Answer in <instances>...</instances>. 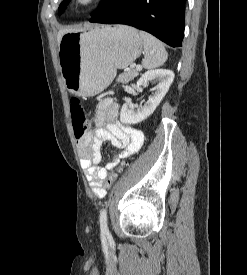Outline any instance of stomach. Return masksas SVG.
Segmentation results:
<instances>
[{
    "label": "stomach",
    "instance_id": "1",
    "mask_svg": "<svg viewBox=\"0 0 247 275\" xmlns=\"http://www.w3.org/2000/svg\"><path fill=\"white\" fill-rule=\"evenodd\" d=\"M142 49L138 31L125 25L65 33L58 49L65 86L78 96L97 95L113 81L117 69L131 65Z\"/></svg>",
    "mask_w": 247,
    "mask_h": 275
}]
</instances>
